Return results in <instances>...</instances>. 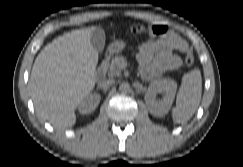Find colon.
<instances>
[{"label": "colon", "mask_w": 243, "mask_h": 167, "mask_svg": "<svg viewBox=\"0 0 243 167\" xmlns=\"http://www.w3.org/2000/svg\"><path fill=\"white\" fill-rule=\"evenodd\" d=\"M128 30L134 36L150 37L164 34L167 31V27L162 23L133 24ZM184 62L187 67H191L194 63V58L189 48H186L184 51Z\"/></svg>", "instance_id": "obj_1"}]
</instances>
